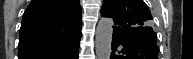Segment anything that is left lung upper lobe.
<instances>
[{
    "mask_svg": "<svg viewBox=\"0 0 193 59\" xmlns=\"http://www.w3.org/2000/svg\"><path fill=\"white\" fill-rule=\"evenodd\" d=\"M101 14L113 18L114 27L123 30L138 31L152 25L150 10L142 0H104Z\"/></svg>",
    "mask_w": 193,
    "mask_h": 59,
    "instance_id": "1",
    "label": "left lung upper lobe"
}]
</instances>
